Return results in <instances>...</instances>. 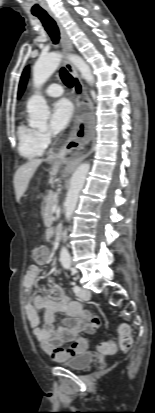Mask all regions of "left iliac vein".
<instances>
[{"instance_id":"left-iliac-vein-1","label":"left iliac vein","mask_w":155,"mask_h":413,"mask_svg":"<svg viewBox=\"0 0 155 413\" xmlns=\"http://www.w3.org/2000/svg\"><path fill=\"white\" fill-rule=\"evenodd\" d=\"M78 296L82 299V300H88L91 296V293L88 289L86 288H81L80 292L78 294Z\"/></svg>"}]
</instances>
